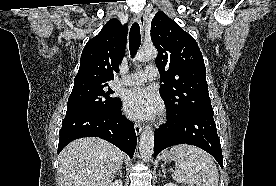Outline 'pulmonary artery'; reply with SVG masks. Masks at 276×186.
Listing matches in <instances>:
<instances>
[{"mask_svg": "<svg viewBox=\"0 0 276 186\" xmlns=\"http://www.w3.org/2000/svg\"><path fill=\"white\" fill-rule=\"evenodd\" d=\"M158 76V69L155 66H147L143 71L135 72L124 77L121 84L134 86L140 85L146 81L154 80Z\"/></svg>", "mask_w": 276, "mask_h": 186, "instance_id": "e3ab8cb5", "label": "pulmonary artery"}]
</instances>
